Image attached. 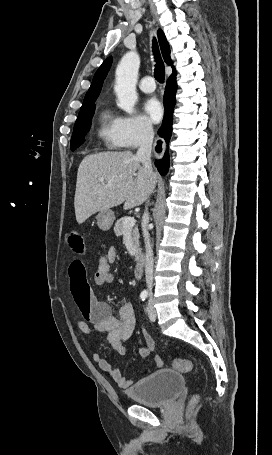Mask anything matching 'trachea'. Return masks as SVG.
Returning <instances> with one entry per match:
<instances>
[{"label":"trachea","instance_id":"trachea-1","mask_svg":"<svg viewBox=\"0 0 272 455\" xmlns=\"http://www.w3.org/2000/svg\"><path fill=\"white\" fill-rule=\"evenodd\" d=\"M153 53L156 61L155 69H154V77L159 83H164L165 79V67L162 61L158 44L156 39H153Z\"/></svg>","mask_w":272,"mask_h":455}]
</instances>
